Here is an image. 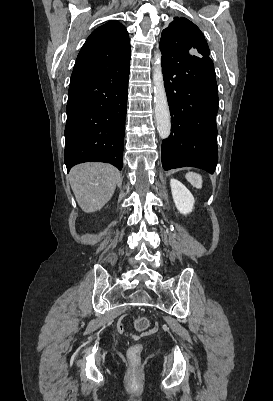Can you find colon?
Wrapping results in <instances>:
<instances>
[{"label": "colon", "mask_w": 273, "mask_h": 401, "mask_svg": "<svg viewBox=\"0 0 273 401\" xmlns=\"http://www.w3.org/2000/svg\"><path fill=\"white\" fill-rule=\"evenodd\" d=\"M136 330L138 333H145L147 330L148 322L146 319H139L136 322ZM144 352V345L138 344V342H132L129 345V349H124V358H130V366L127 369V378L129 381H140L142 378L141 369L139 365V358H141Z\"/></svg>", "instance_id": "1"}]
</instances>
